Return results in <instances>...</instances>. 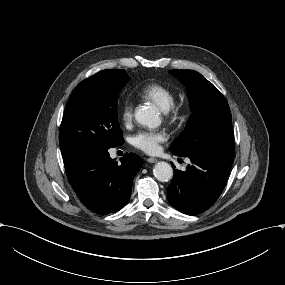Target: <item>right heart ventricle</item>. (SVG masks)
<instances>
[{"label": "right heart ventricle", "mask_w": 285, "mask_h": 285, "mask_svg": "<svg viewBox=\"0 0 285 285\" xmlns=\"http://www.w3.org/2000/svg\"><path fill=\"white\" fill-rule=\"evenodd\" d=\"M139 96L155 103L161 109L169 107L174 101L173 90L166 84L150 82L139 91Z\"/></svg>", "instance_id": "right-heart-ventricle-1"}]
</instances>
